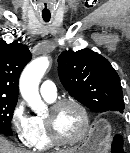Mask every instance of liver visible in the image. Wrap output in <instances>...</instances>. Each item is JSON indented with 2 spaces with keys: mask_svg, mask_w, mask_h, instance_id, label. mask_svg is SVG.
I'll use <instances>...</instances> for the list:
<instances>
[{
  "mask_svg": "<svg viewBox=\"0 0 130 153\" xmlns=\"http://www.w3.org/2000/svg\"><path fill=\"white\" fill-rule=\"evenodd\" d=\"M68 150L65 153H72ZM0 153H29L26 150L14 147L5 137L0 135Z\"/></svg>",
  "mask_w": 130,
  "mask_h": 153,
  "instance_id": "6515ba94",
  "label": "liver"
}]
</instances>
